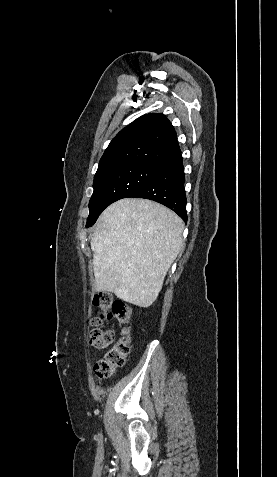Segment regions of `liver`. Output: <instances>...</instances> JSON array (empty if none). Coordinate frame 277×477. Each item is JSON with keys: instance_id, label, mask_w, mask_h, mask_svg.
Here are the masks:
<instances>
[{"instance_id": "liver-1", "label": "liver", "mask_w": 277, "mask_h": 477, "mask_svg": "<svg viewBox=\"0 0 277 477\" xmlns=\"http://www.w3.org/2000/svg\"><path fill=\"white\" fill-rule=\"evenodd\" d=\"M183 220L146 199L125 198L106 208L91 237L95 290L149 307L183 246Z\"/></svg>"}]
</instances>
